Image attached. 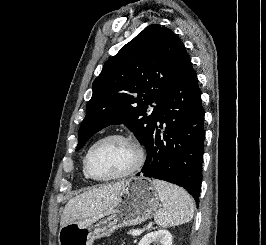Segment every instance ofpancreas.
<instances>
[{"instance_id":"1","label":"pancreas","mask_w":266,"mask_h":245,"mask_svg":"<svg viewBox=\"0 0 266 245\" xmlns=\"http://www.w3.org/2000/svg\"><path fill=\"white\" fill-rule=\"evenodd\" d=\"M133 231H137V229H133ZM133 231H129L128 235H131V233H133Z\"/></svg>"}]
</instances>
